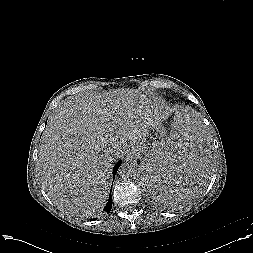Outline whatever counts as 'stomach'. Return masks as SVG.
<instances>
[{"instance_id":"obj_1","label":"stomach","mask_w":253,"mask_h":253,"mask_svg":"<svg viewBox=\"0 0 253 253\" xmlns=\"http://www.w3.org/2000/svg\"><path fill=\"white\" fill-rule=\"evenodd\" d=\"M166 136V130L162 124L148 130V132L138 141L132 143L131 154L142 160L139 167V174L143 165L148 162L151 153L155 150L158 142Z\"/></svg>"}]
</instances>
